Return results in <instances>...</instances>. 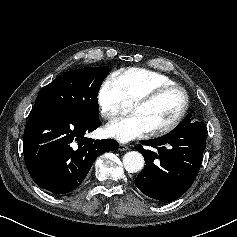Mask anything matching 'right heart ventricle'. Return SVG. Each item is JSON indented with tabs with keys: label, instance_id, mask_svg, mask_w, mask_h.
<instances>
[{
	"label": "right heart ventricle",
	"instance_id": "1",
	"mask_svg": "<svg viewBox=\"0 0 237 237\" xmlns=\"http://www.w3.org/2000/svg\"><path fill=\"white\" fill-rule=\"evenodd\" d=\"M112 78L120 87L127 103H133L156 87L175 84L170 77L143 68L120 70L115 72Z\"/></svg>",
	"mask_w": 237,
	"mask_h": 237
}]
</instances>
